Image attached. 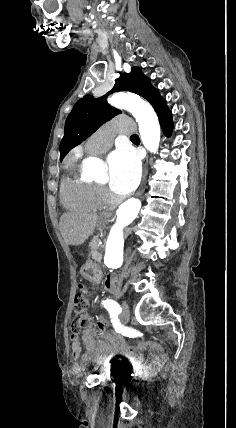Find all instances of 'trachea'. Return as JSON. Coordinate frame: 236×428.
Segmentation results:
<instances>
[{
    "label": "trachea",
    "instance_id": "1",
    "mask_svg": "<svg viewBox=\"0 0 236 428\" xmlns=\"http://www.w3.org/2000/svg\"><path fill=\"white\" fill-rule=\"evenodd\" d=\"M130 138H132V139H139L138 135H136V134L131 135V137H130Z\"/></svg>",
    "mask_w": 236,
    "mask_h": 428
}]
</instances>
